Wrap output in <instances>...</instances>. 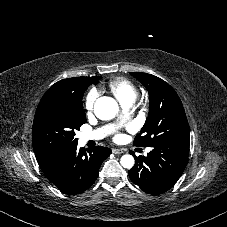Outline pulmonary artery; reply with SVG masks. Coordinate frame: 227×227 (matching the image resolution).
Listing matches in <instances>:
<instances>
[{
	"mask_svg": "<svg viewBox=\"0 0 227 227\" xmlns=\"http://www.w3.org/2000/svg\"><path fill=\"white\" fill-rule=\"evenodd\" d=\"M132 103H126L123 105L124 110L128 111L131 107ZM115 126L110 125V126H106L103 128H98L96 130L93 131H89L86 133H83L81 135V141L83 143L90 141V140H99L102 139L104 137H106L107 135L111 134L114 130H115Z\"/></svg>",
	"mask_w": 227,
	"mask_h": 227,
	"instance_id": "pulmonary-artery-1",
	"label": "pulmonary artery"
}]
</instances>
